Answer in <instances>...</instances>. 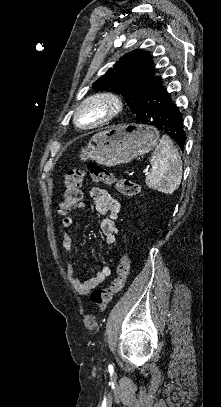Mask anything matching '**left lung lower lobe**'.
I'll list each match as a JSON object with an SVG mask.
<instances>
[{
  "label": "left lung lower lobe",
  "instance_id": "1",
  "mask_svg": "<svg viewBox=\"0 0 221 407\" xmlns=\"http://www.w3.org/2000/svg\"><path fill=\"white\" fill-rule=\"evenodd\" d=\"M136 123L154 126L169 135L183 148L186 136L182 113L159 78L143 90L135 113Z\"/></svg>",
  "mask_w": 221,
  "mask_h": 407
}]
</instances>
